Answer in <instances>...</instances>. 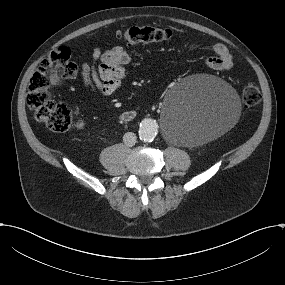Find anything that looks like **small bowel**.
<instances>
[{
    "label": "small bowel",
    "mask_w": 285,
    "mask_h": 285,
    "mask_svg": "<svg viewBox=\"0 0 285 285\" xmlns=\"http://www.w3.org/2000/svg\"><path fill=\"white\" fill-rule=\"evenodd\" d=\"M214 54L205 59V64L217 71H228L233 66V56L226 45L216 43ZM130 54L122 46L106 50L95 47L90 61L81 65V77L84 86L94 92L111 95L119 87L130 63Z\"/></svg>",
    "instance_id": "small-bowel-1"
}]
</instances>
